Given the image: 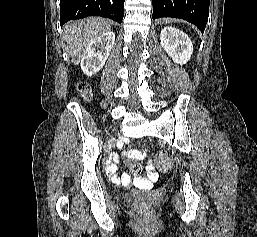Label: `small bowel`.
<instances>
[{
  "label": "small bowel",
  "instance_id": "1",
  "mask_svg": "<svg viewBox=\"0 0 257 237\" xmlns=\"http://www.w3.org/2000/svg\"><path fill=\"white\" fill-rule=\"evenodd\" d=\"M107 170H108V174L111 176L113 181H115L116 183H120L122 185H127V184L131 183V177L128 173H126V172H123L121 174L116 173V170H117L116 164L108 165ZM156 179H157V174L153 170L152 165L149 164L146 175L136 177L135 181L139 185L146 187V186H149L151 184V182Z\"/></svg>",
  "mask_w": 257,
  "mask_h": 237
}]
</instances>
